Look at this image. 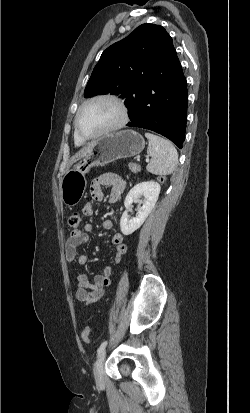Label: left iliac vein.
<instances>
[{"label":"left iliac vein","mask_w":250,"mask_h":413,"mask_svg":"<svg viewBox=\"0 0 250 413\" xmlns=\"http://www.w3.org/2000/svg\"><path fill=\"white\" fill-rule=\"evenodd\" d=\"M106 353L103 351L100 353L99 357L96 360L94 365V376L97 385L101 386L104 384V360H105Z\"/></svg>","instance_id":"1"}]
</instances>
